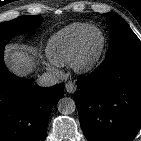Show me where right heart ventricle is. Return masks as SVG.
I'll use <instances>...</instances> for the list:
<instances>
[{
    "mask_svg": "<svg viewBox=\"0 0 141 141\" xmlns=\"http://www.w3.org/2000/svg\"><path fill=\"white\" fill-rule=\"evenodd\" d=\"M91 27L88 23L75 22L55 33L46 46L49 59L60 66L71 64L83 34Z\"/></svg>",
    "mask_w": 141,
    "mask_h": 141,
    "instance_id": "right-heart-ventricle-1",
    "label": "right heart ventricle"
}]
</instances>
